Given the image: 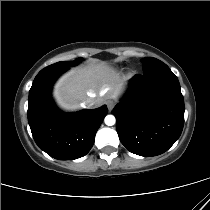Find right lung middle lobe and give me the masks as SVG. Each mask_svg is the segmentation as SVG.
Here are the masks:
<instances>
[{"instance_id": "obj_1", "label": "right lung middle lobe", "mask_w": 210, "mask_h": 210, "mask_svg": "<svg viewBox=\"0 0 210 210\" xmlns=\"http://www.w3.org/2000/svg\"><path fill=\"white\" fill-rule=\"evenodd\" d=\"M80 60H81V58H77L75 61H72V62L61 61V62H57L55 64H52L49 67H55V66H66V67H70V66L76 65Z\"/></svg>"}]
</instances>
